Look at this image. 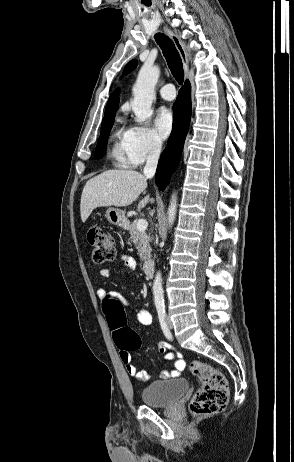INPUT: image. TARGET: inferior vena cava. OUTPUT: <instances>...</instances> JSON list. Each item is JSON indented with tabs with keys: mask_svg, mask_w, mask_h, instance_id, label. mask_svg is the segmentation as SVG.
Returning a JSON list of instances; mask_svg holds the SVG:
<instances>
[{
	"mask_svg": "<svg viewBox=\"0 0 294 462\" xmlns=\"http://www.w3.org/2000/svg\"><path fill=\"white\" fill-rule=\"evenodd\" d=\"M161 153V143L158 141H154L150 145L149 153L147 156V162L144 167V175L147 178H152L155 175L159 156Z\"/></svg>",
	"mask_w": 294,
	"mask_h": 462,
	"instance_id": "inferior-vena-cava-1",
	"label": "inferior vena cava"
}]
</instances>
